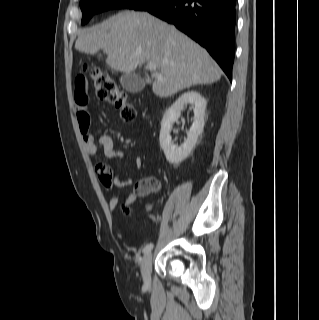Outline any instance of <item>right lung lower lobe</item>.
<instances>
[{"instance_id":"1","label":"right lung lower lobe","mask_w":319,"mask_h":320,"mask_svg":"<svg viewBox=\"0 0 319 320\" xmlns=\"http://www.w3.org/2000/svg\"><path fill=\"white\" fill-rule=\"evenodd\" d=\"M237 0H152L135 10L147 11L205 47L232 79Z\"/></svg>"}]
</instances>
